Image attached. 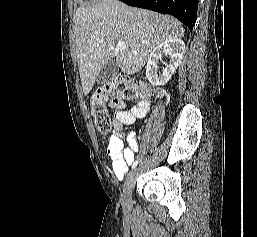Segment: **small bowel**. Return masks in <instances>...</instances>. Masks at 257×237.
I'll list each match as a JSON object with an SVG mask.
<instances>
[{"mask_svg": "<svg viewBox=\"0 0 257 237\" xmlns=\"http://www.w3.org/2000/svg\"><path fill=\"white\" fill-rule=\"evenodd\" d=\"M114 108L116 109L113 121L114 134L106 148V156L111 162L115 178L122 180L134 160V153L139 145L136 134L129 132L126 136L127 146H125L121 131L124 126L132 125L137 119L145 117L149 111V103L145 100L139 101L130 109L127 105L120 103L114 105Z\"/></svg>", "mask_w": 257, "mask_h": 237, "instance_id": "1", "label": "small bowel"}]
</instances>
